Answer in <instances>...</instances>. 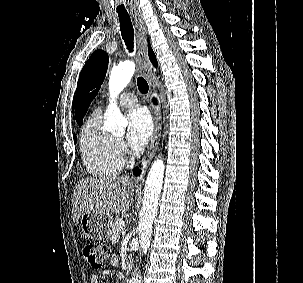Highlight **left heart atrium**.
Returning a JSON list of instances; mask_svg holds the SVG:
<instances>
[{"label":"left heart atrium","instance_id":"obj_1","mask_svg":"<svg viewBox=\"0 0 303 283\" xmlns=\"http://www.w3.org/2000/svg\"><path fill=\"white\" fill-rule=\"evenodd\" d=\"M127 142L133 149L143 148L149 141L153 124L152 119L144 107H134L127 115Z\"/></svg>","mask_w":303,"mask_h":283}]
</instances>
